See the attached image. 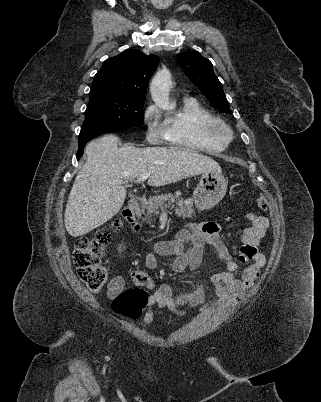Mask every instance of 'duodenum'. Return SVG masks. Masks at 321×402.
I'll list each match as a JSON object with an SVG mask.
<instances>
[{
    "mask_svg": "<svg viewBox=\"0 0 321 402\" xmlns=\"http://www.w3.org/2000/svg\"><path fill=\"white\" fill-rule=\"evenodd\" d=\"M139 208V201L137 199H132L123 212L124 220L128 224L129 228L135 233H137L141 228L139 222L136 219V213L138 212Z\"/></svg>",
    "mask_w": 321,
    "mask_h": 402,
    "instance_id": "410a0bca",
    "label": "duodenum"
}]
</instances>
